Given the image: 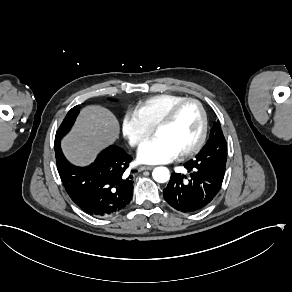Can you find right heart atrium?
I'll return each instance as SVG.
<instances>
[{"label": "right heart atrium", "mask_w": 292, "mask_h": 292, "mask_svg": "<svg viewBox=\"0 0 292 292\" xmlns=\"http://www.w3.org/2000/svg\"><path fill=\"white\" fill-rule=\"evenodd\" d=\"M123 136L133 146L140 145L151 133V128L132 109L124 111L120 118Z\"/></svg>", "instance_id": "obj_1"}]
</instances>
